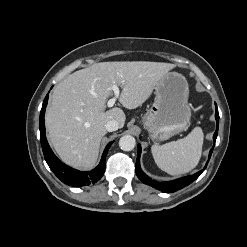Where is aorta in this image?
<instances>
[{
  "label": "aorta",
  "instance_id": "obj_1",
  "mask_svg": "<svg viewBox=\"0 0 247 247\" xmlns=\"http://www.w3.org/2000/svg\"><path fill=\"white\" fill-rule=\"evenodd\" d=\"M136 141L131 135H124L119 140V146L123 151H131L135 148Z\"/></svg>",
  "mask_w": 247,
  "mask_h": 247
}]
</instances>
